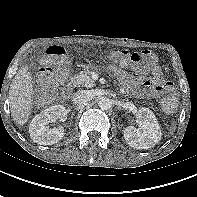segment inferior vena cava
<instances>
[{
	"instance_id": "inferior-vena-cava-1",
	"label": "inferior vena cava",
	"mask_w": 197,
	"mask_h": 197,
	"mask_svg": "<svg viewBox=\"0 0 197 197\" xmlns=\"http://www.w3.org/2000/svg\"><path fill=\"white\" fill-rule=\"evenodd\" d=\"M90 99H91V97H90V94L88 93V91L80 90V91H77L76 93H74L72 101L74 104L82 105V104H85L86 102H88Z\"/></svg>"
}]
</instances>
